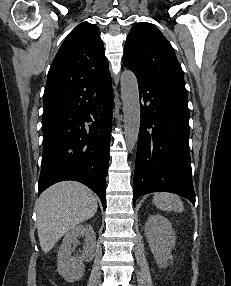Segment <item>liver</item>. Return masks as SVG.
<instances>
[{
  "label": "liver",
  "instance_id": "1",
  "mask_svg": "<svg viewBox=\"0 0 231 286\" xmlns=\"http://www.w3.org/2000/svg\"><path fill=\"white\" fill-rule=\"evenodd\" d=\"M97 207L93 192L76 181L59 182L45 190L36 203L42 251L48 253L61 237L93 217Z\"/></svg>",
  "mask_w": 231,
  "mask_h": 286
}]
</instances>
